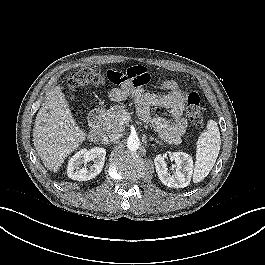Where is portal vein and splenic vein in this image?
I'll use <instances>...</instances> for the list:
<instances>
[{"label": "portal vein and splenic vein", "instance_id": "18ae733b", "mask_svg": "<svg viewBox=\"0 0 265 265\" xmlns=\"http://www.w3.org/2000/svg\"><path fill=\"white\" fill-rule=\"evenodd\" d=\"M127 120H129V116L128 115H122V122L127 121Z\"/></svg>", "mask_w": 265, "mask_h": 265}]
</instances>
